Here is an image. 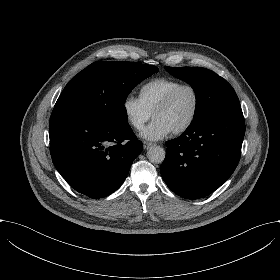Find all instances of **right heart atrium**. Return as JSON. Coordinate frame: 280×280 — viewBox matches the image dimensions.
<instances>
[{
  "mask_svg": "<svg viewBox=\"0 0 280 280\" xmlns=\"http://www.w3.org/2000/svg\"><path fill=\"white\" fill-rule=\"evenodd\" d=\"M122 112L128 124L137 131L143 129L152 115L139 98L132 96H127L122 101Z\"/></svg>",
  "mask_w": 280,
  "mask_h": 280,
  "instance_id": "1",
  "label": "right heart atrium"
}]
</instances>
